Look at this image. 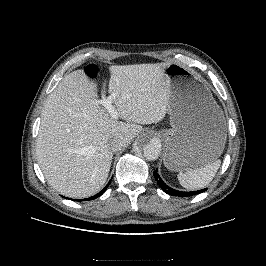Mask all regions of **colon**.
<instances>
[{"instance_id":"1","label":"colon","mask_w":266,"mask_h":266,"mask_svg":"<svg viewBox=\"0 0 266 266\" xmlns=\"http://www.w3.org/2000/svg\"><path fill=\"white\" fill-rule=\"evenodd\" d=\"M87 75L90 77V78H95L97 77L98 75V70L96 68V66L94 65H90L86 71Z\"/></svg>"}]
</instances>
